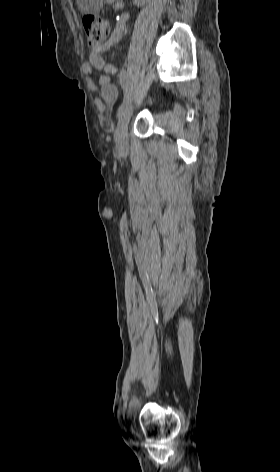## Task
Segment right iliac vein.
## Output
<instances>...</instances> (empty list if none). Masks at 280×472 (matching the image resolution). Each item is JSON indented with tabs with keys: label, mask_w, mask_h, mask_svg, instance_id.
<instances>
[{
	"label": "right iliac vein",
	"mask_w": 280,
	"mask_h": 472,
	"mask_svg": "<svg viewBox=\"0 0 280 472\" xmlns=\"http://www.w3.org/2000/svg\"><path fill=\"white\" fill-rule=\"evenodd\" d=\"M132 111L133 107L130 103L121 113L115 132L116 144L123 155H126L129 150L128 124L132 116Z\"/></svg>",
	"instance_id": "obj_1"
}]
</instances>
